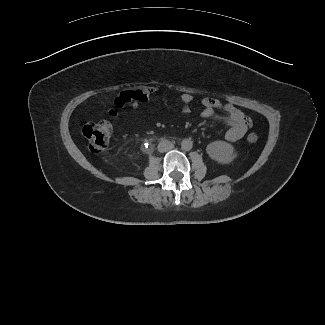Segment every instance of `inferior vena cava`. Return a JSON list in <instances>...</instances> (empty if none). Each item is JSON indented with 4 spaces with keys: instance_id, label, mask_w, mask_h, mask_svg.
Wrapping results in <instances>:
<instances>
[{
    "instance_id": "inferior-vena-cava-1",
    "label": "inferior vena cava",
    "mask_w": 325,
    "mask_h": 325,
    "mask_svg": "<svg viewBox=\"0 0 325 325\" xmlns=\"http://www.w3.org/2000/svg\"><path fill=\"white\" fill-rule=\"evenodd\" d=\"M174 148V144L168 140H163L158 145L159 152H167Z\"/></svg>"
}]
</instances>
